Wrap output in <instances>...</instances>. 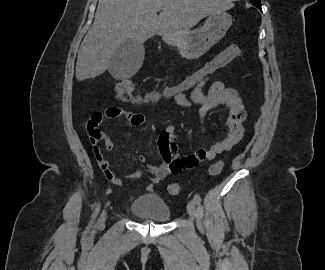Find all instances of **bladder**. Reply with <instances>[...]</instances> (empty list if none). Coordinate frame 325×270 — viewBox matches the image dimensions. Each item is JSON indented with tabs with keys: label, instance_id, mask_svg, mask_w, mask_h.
<instances>
[{
	"label": "bladder",
	"instance_id": "obj_1",
	"mask_svg": "<svg viewBox=\"0 0 325 270\" xmlns=\"http://www.w3.org/2000/svg\"><path fill=\"white\" fill-rule=\"evenodd\" d=\"M136 217L154 222H167L172 213L166 201L158 194H146L136 197L130 206Z\"/></svg>",
	"mask_w": 325,
	"mask_h": 270
}]
</instances>
